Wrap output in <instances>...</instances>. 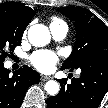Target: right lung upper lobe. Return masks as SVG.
<instances>
[{
	"label": "right lung upper lobe",
	"instance_id": "obj_1",
	"mask_svg": "<svg viewBox=\"0 0 108 108\" xmlns=\"http://www.w3.org/2000/svg\"><path fill=\"white\" fill-rule=\"evenodd\" d=\"M0 11L10 12L14 14L16 19L23 25L24 28L28 25L30 20L35 15L32 8L25 6L19 2H5L0 4Z\"/></svg>",
	"mask_w": 108,
	"mask_h": 108
}]
</instances>
